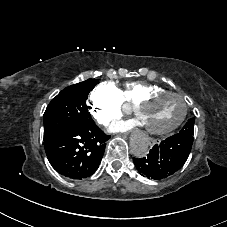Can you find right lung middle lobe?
Wrapping results in <instances>:
<instances>
[{
	"instance_id": "1",
	"label": "right lung middle lobe",
	"mask_w": 227,
	"mask_h": 227,
	"mask_svg": "<svg viewBox=\"0 0 227 227\" xmlns=\"http://www.w3.org/2000/svg\"><path fill=\"white\" fill-rule=\"evenodd\" d=\"M96 79L71 85L63 89L49 103L44 113V139L70 126L94 123L86 105L89 92L98 84Z\"/></svg>"
}]
</instances>
